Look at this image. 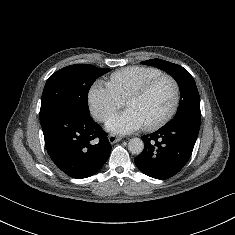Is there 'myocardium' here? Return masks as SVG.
I'll return each instance as SVG.
<instances>
[{
  "label": "myocardium",
  "instance_id": "1",
  "mask_svg": "<svg viewBox=\"0 0 235 235\" xmlns=\"http://www.w3.org/2000/svg\"><path fill=\"white\" fill-rule=\"evenodd\" d=\"M163 80L169 81L173 87L174 98H173L172 105L169 108V110L166 112V114H164L161 118H159L158 120L152 123L144 125V128L146 130L157 129L163 126L165 123H167L174 116V114L177 111L179 102H180V87H179L178 82L170 75L161 74L151 79L150 81L145 83L143 86H141L139 89L131 93L125 100V105L127 106V104L130 101L135 100V99H140L144 97L145 95H147L156 84H158L160 81H163Z\"/></svg>",
  "mask_w": 235,
  "mask_h": 235
}]
</instances>
